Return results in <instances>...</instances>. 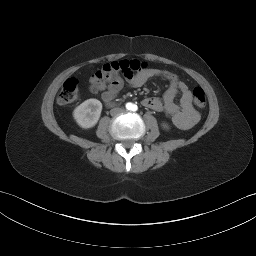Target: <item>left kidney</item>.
Listing matches in <instances>:
<instances>
[{"instance_id": "obj_1", "label": "left kidney", "mask_w": 256, "mask_h": 256, "mask_svg": "<svg viewBox=\"0 0 256 256\" xmlns=\"http://www.w3.org/2000/svg\"><path fill=\"white\" fill-rule=\"evenodd\" d=\"M162 126H163V128H165V129H168V128H169V126H168L167 123H162Z\"/></svg>"}]
</instances>
